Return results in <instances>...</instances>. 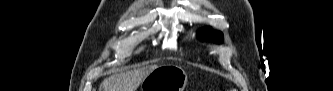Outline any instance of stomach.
<instances>
[{
  "mask_svg": "<svg viewBox=\"0 0 333 91\" xmlns=\"http://www.w3.org/2000/svg\"><path fill=\"white\" fill-rule=\"evenodd\" d=\"M188 77L177 65L159 66L141 82V91H184Z\"/></svg>",
  "mask_w": 333,
  "mask_h": 91,
  "instance_id": "0dacf381",
  "label": "stomach"
}]
</instances>
